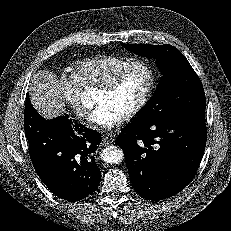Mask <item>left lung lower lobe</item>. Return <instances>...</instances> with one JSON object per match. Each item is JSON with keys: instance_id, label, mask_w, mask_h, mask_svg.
Returning <instances> with one entry per match:
<instances>
[{"instance_id": "0a47b994", "label": "left lung lower lobe", "mask_w": 231, "mask_h": 231, "mask_svg": "<svg viewBox=\"0 0 231 231\" xmlns=\"http://www.w3.org/2000/svg\"><path fill=\"white\" fill-rule=\"evenodd\" d=\"M207 139L205 111L150 124L131 123L116 139L124 151L136 192L159 201L182 191L193 179Z\"/></svg>"}]
</instances>
